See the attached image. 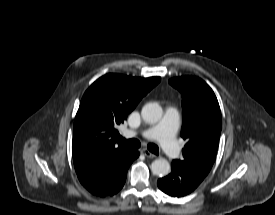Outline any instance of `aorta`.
Returning a JSON list of instances; mask_svg holds the SVG:
<instances>
[{
    "mask_svg": "<svg viewBox=\"0 0 275 215\" xmlns=\"http://www.w3.org/2000/svg\"><path fill=\"white\" fill-rule=\"evenodd\" d=\"M142 118L145 122L154 124L160 121L163 115L162 107L155 102L147 103L141 111ZM170 163L164 159H156L151 164V171L154 175L164 177L170 173Z\"/></svg>",
    "mask_w": 275,
    "mask_h": 215,
    "instance_id": "aorta-1",
    "label": "aorta"
}]
</instances>
